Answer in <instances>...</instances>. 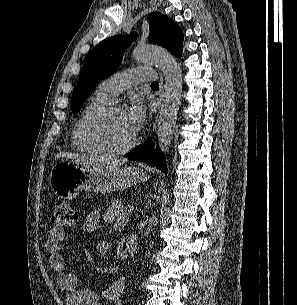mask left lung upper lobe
Segmentation results:
<instances>
[{
	"label": "left lung upper lobe",
	"instance_id": "left-lung-upper-lobe-1",
	"mask_svg": "<svg viewBox=\"0 0 297 305\" xmlns=\"http://www.w3.org/2000/svg\"><path fill=\"white\" fill-rule=\"evenodd\" d=\"M149 41L158 44L177 57L182 55L183 32L181 28L160 12L149 16ZM137 34L118 35L100 42L86 57L77 86L72 93L74 113L82 106L95 83L112 75L119 67L123 54L136 40Z\"/></svg>",
	"mask_w": 297,
	"mask_h": 305
}]
</instances>
